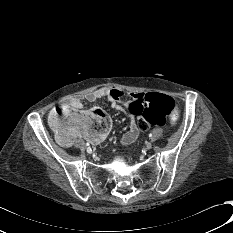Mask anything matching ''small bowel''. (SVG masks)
I'll use <instances>...</instances> for the list:
<instances>
[{"instance_id":"1","label":"small bowel","mask_w":233,"mask_h":233,"mask_svg":"<svg viewBox=\"0 0 233 233\" xmlns=\"http://www.w3.org/2000/svg\"><path fill=\"white\" fill-rule=\"evenodd\" d=\"M137 94L139 93H130L129 96L132 98ZM124 95L125 92L120 88L103 87L95 91L88 92L81 97L70 98L66 102V106H68L71 110L69 116H75L76 112L84 108V101L94 102L98 99H107L113 109L125 113L130 119L129 130L126 133H124L121 137V143L124 145H129L136 140L139 134V128L137 125V118L130 116L126 108L120 104L121 99ZM54 110L51 112V114L54 112ZM110 130L111 127L109 123L105 130H103L100 133L89 134L80 129H71L65 134H56V137L58 142L63 146H71L73 144L74 139L79 136L86 138L93 145H98L107 138L108 134L110 133Z\"/></svg>"}]
</instances>
